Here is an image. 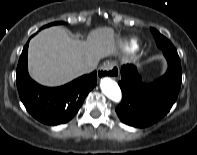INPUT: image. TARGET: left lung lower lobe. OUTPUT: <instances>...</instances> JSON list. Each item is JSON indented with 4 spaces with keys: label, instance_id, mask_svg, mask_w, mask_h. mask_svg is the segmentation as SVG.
Returning <instances> with one entry per match:
<instances>
[{
    "label": "left lung lower lobe",
    "instance_id": "left-lung-lower-lobe-1",
    "mask_svg": "<svg viewBox=\"0 0 197 155\" xmlns=\"http://www.w3.org/2000/svg\"><path fill=\"white\" fill-rule=\"evenodd\" d=\"M168 68L158 80L147 85L142 82L136 67L123 65L121 103L116 108L120 120L133 127H148L164 117L175 103L181 86V63L177 51L163 52Z\"/></svg>",
    "mask_w": 197,
    "mask_h": 155
}]
</instances>
